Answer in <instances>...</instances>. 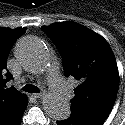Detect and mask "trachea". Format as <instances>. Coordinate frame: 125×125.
I'll return each instance as SVG.
<instances>
[{"instance_id": "3493384b", "label": "trachea", "mask_w": 125, "mask_h": 125, "mask_svg": "<svg viewBox=\"0 0 125 125\" xmlns=\"http://www.w3.org/2000/svg\"><path fill=\"white\" fill-rule=\"evenodd\" d=\"M23 91L29 92V93H37L39 92V89L37 86L32 85V84H26L23 88Z\"/></svg>"}]
</instances>
